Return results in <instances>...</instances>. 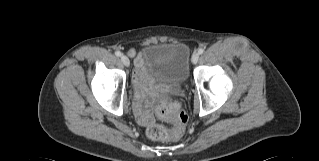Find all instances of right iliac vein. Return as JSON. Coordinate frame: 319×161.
I'll list each match as a JSON object with an SVG mask.
<instances>
[{
    "instance_id": "right-iliac-vein-1",
    "label": "right iliac vein",
    "mask_w": 319,
    "mask_h": 161,
    "mask_svg": "<svg viewBox=\"0 0 319 161\" xmlns=\"http://www.w3.org/2000/svg\"><path fill=\"white\" fill-rule=\"evenodd\" d=\"M121 61L123 63V65H125L126 67H128L130 65V60L127 56L122 55L121 56Z\"/></svg>"
}]
</instances>
